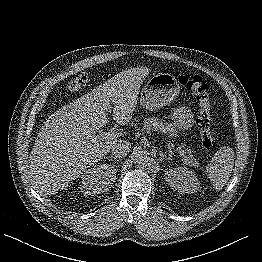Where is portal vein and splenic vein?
I'll return each mask as SVG.
<instances>
[{
    "label": "portal vein and splenic vein",
    "instance_id": "obj_1",
    "mask_svg": "<svg viewBox=\"0 0 262 262\" xmlns=\"http://www.w3.org/2000/svg\"><path fill=\"white\" fill-rule=\"evenodd\" d=\"M123 133L122 132H106V131H101V133H99L98 135L95 136L96 140H112L114 138H118L120 136H122ZM190 159L186 158L185 162H190Z\"/></svg>",
    "mask_w": 262,
    "mask_h": 262
}]
</instances>
